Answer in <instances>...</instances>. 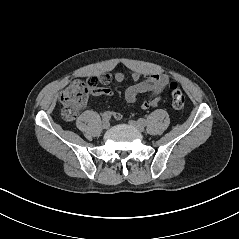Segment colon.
Instances as JSON below:
<instances>
[{
    "instance_id": "colon-1",
    "label": "colon",
    "mask_w": 239,
    "mask_h": 239,
    "mask_svg": "<svg viewBox=\"0 0 239 239\" xmlns=\"http://www.w3.org/2000/svg\"><path fill=\"white\" fill-rule=\"evenodd\" d=\"M98 83L95 77H90L86 82L74 80L61 93L60 103L62 105V117L65 120H73L77 114L83 109L87 101L89 92ZM172 105L175 109H182L185 104V97L177 83L170 84Z\"/></svg>"
}]
</instances>
